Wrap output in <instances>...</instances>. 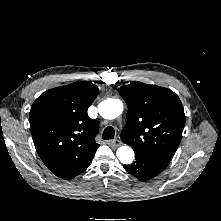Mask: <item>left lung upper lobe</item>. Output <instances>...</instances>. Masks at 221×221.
Returning <instances> with one entry per match:
<instances>
[{"instance_id": "5c2ea615", "label": "left lung upper lobe", "mask_w": 221, "mask_h": 221, "mask_svg": "<svg viewBox=\"0 0 221 221\" xmlns=\"http://www.w3.org/2000/svg\"><path fill=\"white\" fill-rule=\"evenodd\" d=\"M119 93L128 107L122 141L134 151L170 161L185 124L184 109L177 94L142 82L122 86Z\"/></svg>"}]
</instances>
